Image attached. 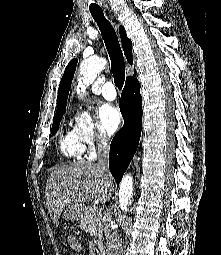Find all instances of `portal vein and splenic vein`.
I'll list each match as a JSON object with an SVG mask.
<instances>
[{
	"label": "portal vein and splenic vein",
	"mask_w": 221,
	"mask_h": 255,
	"mask_svg": "<svg viewBox=\"0 0 221 255\" xmlns=\"http://www.w3.org/2000/svg\"><path fill=\"white\" fill-rule=\"evenodd\" d=\"M95 210L99 211V209H98V208H95Z\"/></svg>",
	"instance_id": "portal-vein-and-splenic-vein-1"
}]
</instances>
